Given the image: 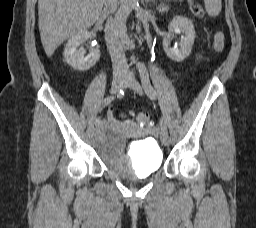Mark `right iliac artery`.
Listing matches in <instances>:
<instances>
[{
  "label": "right iliac artery",
  "instance_id": "right-iliac-artery-1",
  "mask_svg": "<svg viewBox=\"0 0 256 228\" xmlns=\"http://www.w3.org/2000/svg\"><path fill=\"white\" fill-rule=\"evenodd\" d=\"M134 75V74H133ZM129 86V83L128 84H126L124 87H122L121 89H120V91L118 92V94H117V97H122L123 95H124V93H125V90H126V88ZM115 98H116V96H114V95H111V96H108V97H106L105 99H104V101H103V104L104 105H108V104H110L111 102H113L114 100H115ZM102 121H101V118L100 117H97L95 120H94V123L97 125V124H100Z\"/></svg>",
  "mask_w": 256,
  "mask_h": 228
}]
</instances>
